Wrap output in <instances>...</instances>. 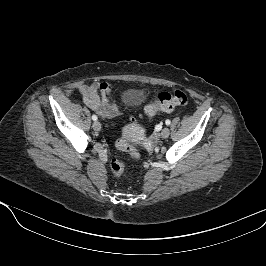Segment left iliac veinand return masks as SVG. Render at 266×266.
<instances>
[{
	"label": "left iliac vein",
	"instance_id": "1",
	"mask_svg": "<svg viewBox=\"0 0 266 266\" xmlns=\"http://www.w3.org/2000/svg\"><path fill=\"white\" fill-rule=\"evenodd\" d=\"M169 135H170L169 128H167V127L163 128L162 131H161L162 138H168Z\"/></svg>",
	"mask_w": 266,
	"mask_h": 266
}]
</instances>
